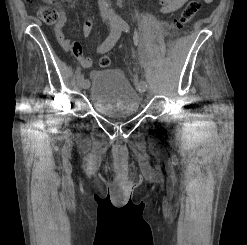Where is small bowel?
<instances>
[{"mask_svg":"<svg viewBox=\"0 0 247 245\" xmlns=\"http://www.w3.org/2000/svg\"><path fill=\"white\" fill-rule=\"evenodd\" d=\"M186 1L187 0H158L160 4V12L163 14L174 13L178 11L186 3ZM213 1L214 0H204L206 3H211ZM65 22L66 16L63 12H61L60 19L55 25V34L58 42L66 51H71L79 59L83 66L89 67L91 65V59L83 56L80 44L65 39L62 32V27L64 26ZM92 25V19L87 18L83 26L84 36L87 37L91 33Z\"/></svg>","mask_w":247,"mask_h":245,"instance_id":"obj_1","label":"small bowel"}]
</instances>
